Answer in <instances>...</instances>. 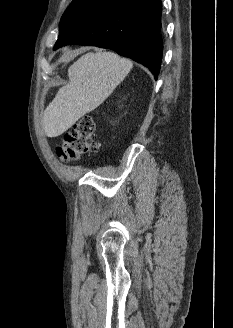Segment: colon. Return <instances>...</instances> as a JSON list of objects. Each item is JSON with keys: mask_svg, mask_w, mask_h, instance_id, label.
I'll return each mask as SVG.
<instances>
[{"mask_svg": "<svg viewBox=\"0 0 233 328\" xmlns=\"http://www.w3.org/2000/svg\"><path fill=\"white\" fill-rule=\"evenodd\" d=\"M94 131V120L90 116L81 117L63 134L61 144L56 148L57 156L69 162L91 153L96 147Z\"/></svg>", "mask_w": 233, "mask_h": 328, "instance_id": "5ec220e1", "label": "colon"}]
</instances>
